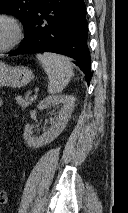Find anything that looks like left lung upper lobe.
<instances>
[{
	"mask_svg": "<svg viewBox=\"0 0 128 213\" xmlns=\"http://www.w3.org/2000/svg\"><path fill=\"white\" fill-rule=\"evenodd\" d=\"M39 0H0V13L17 16L26 29L33 17Z\"/></svg>",
	"mask_w": 128,
	"mask_h": 213,
	"instance_id": "1",
	"label": "left lung upper lobe"
}]
</instances>
